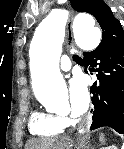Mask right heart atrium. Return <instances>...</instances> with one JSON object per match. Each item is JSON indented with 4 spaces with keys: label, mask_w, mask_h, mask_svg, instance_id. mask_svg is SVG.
I'll return each mask as SVG.
<instances>
[{
    "label": "right heart atrium",
    "mask_w": 124,
    "mask_h": 149,
    "mask_svg": "<svg viewBox=\"0 0 124 149\" xmlns=\"http://www.w3.org/2000/svg\"><path fill=\"white\" fill-rule=\"evenodd\" d=\"M60 118H61L62 122H63L65 125H67V124L69 123V119H68V118H66V117H60Z\"/></svg>",
    "instance_id": "d8ad5b80"
}]
</instances>
